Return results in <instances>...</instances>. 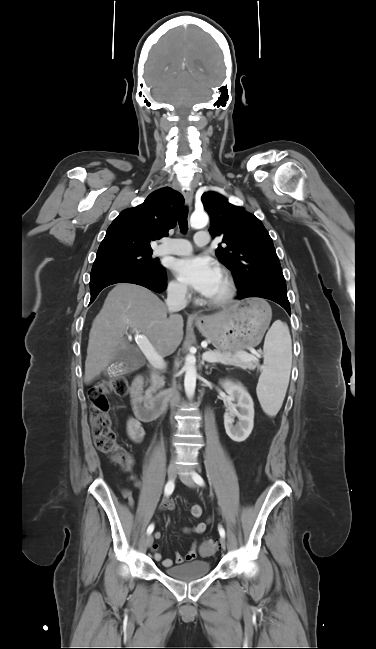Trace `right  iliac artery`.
<instances>
[{
  "label": "right iliac artery",
  "instance_id": "right-iliac-artery-1",
  "mask_svg": "<svg viewBox=\"0 0 376 649\" xmlns=\"http://www.w3.org/2000/svg\"><path fill=\"white\" fill-rule=\"evenodd\" d=\"M174 487H175L174 481L173 480L168 481L164 490L165 495L166 496L171 495L174 490ZM153 530H154V525L150 524L147 528V534L148 535L151 534Z\"/></svg>",
  "mask_w": 376,
  "mask_h": 649
}]
</instances>
